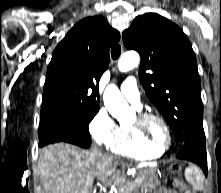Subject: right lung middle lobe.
<instances>
[{"label":"right lung middle lobe","mask_w":221,"mask_h":193,"mask_svg":"<svg viewBox=\"0 0 221 193\" xmlns=\"http://www.w3.org/2000/svg\"><path fill=\"white\" fill-rule=\"evenodd\" d=\"M99 108L80 110L55 108L41 111L39 146L65 141L82 147L91 145L88 124Z\"/></svg>","instance_id":"1"}]
</instances>
